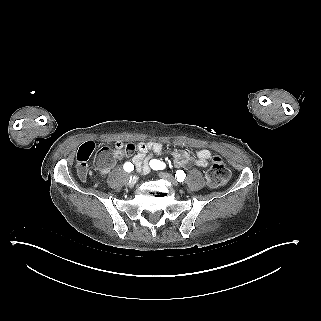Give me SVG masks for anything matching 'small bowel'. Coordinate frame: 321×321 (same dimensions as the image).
<instances>
[{
  "mask_svg": "<svg viewBox=\"0 0 321 321\" xmlns=\"http://www.w3.org/2000/svg\"><path fill=\"white\" fill-rule=\"evenodd\" d=\"M96 144L94 141L85 142L77 153V158L84 155L88 160L90 155L95 151ZM136 154L132 158V162L137 171L141 173H147L150 170V162L153 155H161L163 152V146L159 142H139L136 144ZM130 154V151L126 150L124 144L120 141L115 143V149L111 150L107 147H103L99 150L97 156V168L102 175H107L114 167L117 160H120ZM173 162L179 167H206L208 160L211 158L212 153L209 150L202 149L195 154H190L184 150H176L171 154ZM85 180L86 177H81Z\"/></svg>",
  "mask_w": 321,
  "mask_h": 321,
  "instance_id": "1",
  "label": "small bowel"
}]
</instances>
